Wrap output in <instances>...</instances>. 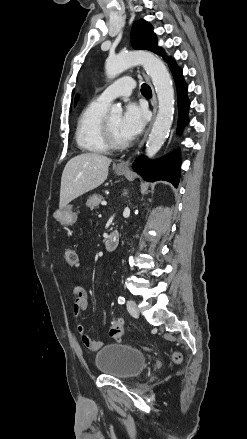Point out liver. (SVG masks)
Instances as JSON below:
<instances>
[{"mask_svg": "<svg viewBox=\"0 0 247 439\" xmlns=\"http://www.w3.org/2000/svg\"><path fill=\"white\" fill-rule=\"evenodd\" d=\"M111 162L97 153H83L70 159L61 177L59 208L100 186L107 179Z\"/></svg>", "mask_w": 247, "mask_h": 439, "instance_id": "6515ba94", "label": "liver"}]
</instances>
